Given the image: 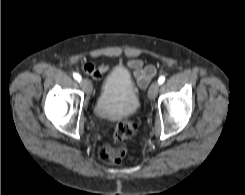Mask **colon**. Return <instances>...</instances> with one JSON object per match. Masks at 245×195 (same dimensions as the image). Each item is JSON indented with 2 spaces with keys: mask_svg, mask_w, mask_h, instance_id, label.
<instances>
[{
  "mask_svg": "<svg viewBox=\"0 0 245 195\" xmlns=\"http://www.w3.org/2000/svg\"><path fill=\"white\" fill-rule=\"evenodd\" d=\"M136 127L137 120L135 119L120 122L115 128L112 141L100 148V159L107 164H119L128 152L124 141L133 135Z\"/></svg>",
  "mask_w": 245,
  "mask_h": 195,
  "instance_id": "1",
  "label": "colon"
}]
</instances>
